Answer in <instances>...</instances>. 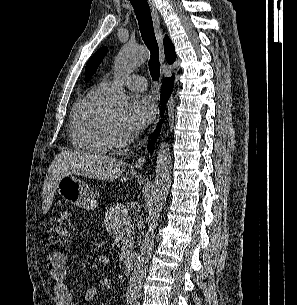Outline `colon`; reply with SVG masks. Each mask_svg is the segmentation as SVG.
I'll return each instance as SVG.
<instances>
[{
  "instance_id": "5ec220e1",
  "label": "colon",
  "mask_w": 297,
  "mask_h": 305,
  "mask_svg": "<svg viewBox=\"0 0 297 305\" xmlns=\"http://www.w3.org/2000/svg\"><path fill=\"white\" fill-rule=\"evenodd\" d=\"M73 233V226L70 214L61 212L54 220L50 229V240L55 246H66Z\"/></svg>"
}]
</instances>
